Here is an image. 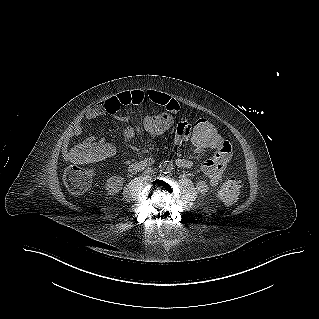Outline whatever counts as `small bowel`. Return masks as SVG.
<instances>
[{"label": "small bowel", "instance_id": "c3829d8e", "mask_svg": "<svg viewBox=\"0 0 319 319\" xmlns=\"http://www.w3.org/2000/svg\"><path fill=\"white\" fill-rule=\"evenodd\" d=\"M144 101H148L156 105L157 108H165L167 113H176L178 109L182 106L181 99H172L164 93L155 90H149L147 92L141 90H134L128 92H121L108 99L101 101L84 114V119L93 120L95 118L105 116L108 114H115L123 106L131 104H140ZM121 119L122 121L127 120L126 117H121ZM172 130H176L174 136V143L177 145H183L188 140L189 135H191L193 131L191 127V121H172ZM82 133L83 129L78 123L74 124L70 128L68 137L65 139L63 145L65 149V154H67V151L69 150L68 146L70 137L79 136ZM102 142L103 141H97L95 138L90 137L84 143L87 145H96L100 148ZM192 144L194 146L195 154L200 155L204 152L200 150L193 142ZM218 147L220 151L215 152L211 158L205 160L201 165V171L203 175L207 178L208 184L211 187H215L222 182L225 172L227 170L228 160L232 151L231 146L225 139L219 140ZM102 161L104 160L101 158L97 162ZM152 163L153 159L148 158L140 162L132 163L130 165V169L132 171H137L145 168L148 165H151ZM176 164L179 167L187 169L191 168L193 165L192 161L187 158L176 159Z\"/></svg>", "mask_w": 319, "mask_h": 319}]
</instances>
